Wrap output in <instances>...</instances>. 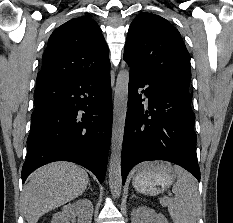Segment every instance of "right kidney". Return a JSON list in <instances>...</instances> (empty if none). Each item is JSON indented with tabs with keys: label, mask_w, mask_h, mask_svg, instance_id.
Returning a JSON list of instances; mask_svg holds the SVG:
<instances>
[{
	"label": "right kidney",
	"mask_w": 233,
	"mask_h": 223,
	"mask_svg": "<svg viewBox=\"0 0 233 223\" xmlns=\"http://www.w3.org/2000/svg\"><path fill=\"white\" fill-rule=\"evenodd\" d=\"M93 211L92 201L84 197V199H77L74 203L64 205L62 211L54 213L51 223H66L73 215L78 217L77 223H91Z\"/></svg>",
	"instance_id": "ca27d5eb"
}]
</instances>
